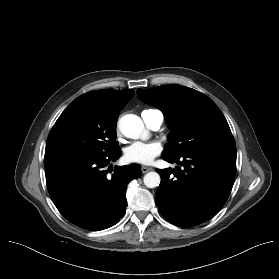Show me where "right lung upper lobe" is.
<instances>
[{"instance_id": "obj_1", "label": "right lung upper lobe", "mask_w": 279, "mask_h": 279, "mask_svg": "<svg viewBox=\"0 0 279 279\" xmlns=\"http://www.w3.org/2000/svg\"><path fill=\"white\" fill-rule=\"evenodd\" d=\"M133 95L132 90H97L83 94L79 98L88 103L98 114L117 120L119 111Z\"/></svg>"}]
</instances>
